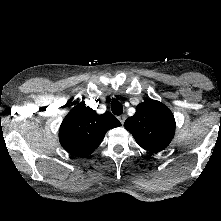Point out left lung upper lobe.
Returning a JSON list of instances; mask_svg holds the SVG:
<instances>
[{"mask_svg":"<svg viewBox=\"0 0 221 221\" xmlns=\"http://www.w3.org/2000/svg\"><path fill=\"white\" fill-rule=\"evenodd\" d=\"M124 126L138 145L154 153L164 150L175 132L172 112L161 102L151 99L137 105L136 113L125 121Z\"/></svg>","mask_w":221,"mask_h":221,"instance_id":"obj_1","label":"left lung upper lobe"}]
</instances>
